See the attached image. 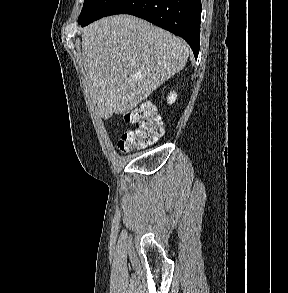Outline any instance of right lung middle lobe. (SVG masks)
I'll list each match as a JSON object with an SVG mask.
<instances>
[{
    "mask_svg": "<svg viewBox=\"0 0 288 293\" xmlns=\"http://www.w3.org/2000/svg\"><path fill=\"white\" fill-rule=\"evenodd\" d=\"M122 0H84L83 9L78 23L86 26L89 23L104 17L113 7Z\"/></svg>",
    "mask_w": 288,
    "mask_h": 293,
    "instance_id": "dd1d6c3e",
    "label": "right lung middle lobe"
}]
</instances>
